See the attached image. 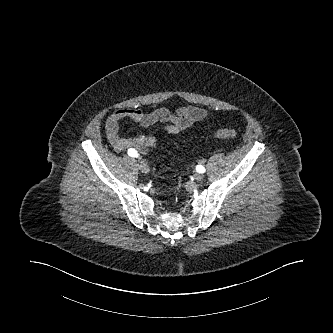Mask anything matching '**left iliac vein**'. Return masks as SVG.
<instances>
[{
    "instance_id": "obj_1",
    "label": "left iliac vein",
    "mask_w": 333,
    "mask_h": 333,
    "mask_svg": "<svg viewBox=\"0 0 333 333\" xmlns=\"http://www.w3.org/2000/svg\"><path fill=\"white\" fill-rule=\"evenodd\" d=\"M194 178H195L196 181H202L203 178H204V175L202 173L196 172L194 174Z\"/></svg>"
}]
</instances>
